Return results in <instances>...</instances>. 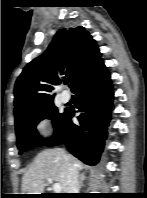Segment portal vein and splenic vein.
<instances>
[{"mask_svg":"<svg viewBox=\"0 0 147 198\" xmlns=\"http://www.w3.org/2000/svg\"><path fill=\"white\" fill-rule=\"evenodd\" d=\"M47 181H48V183L53 184L54 193H61L62 187H61V185L59 183H53V179L52 178H48Z\"/></svg>","mask_w":147,"mask_h":198,"instance_id":"1","label":"portal vein and splenic vein"}]
</instances>
